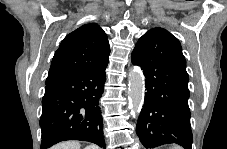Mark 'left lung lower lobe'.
Here are the masks:
<instances>
[{
	"label": "left lung lower lobe",
	"mask_w": 227,
	"mask_h": 149,
	"mask_svg": "<svg viewBox=\"0 0 227 149\" xmlns=\"http://www.w3.org/2000/svg\"><path fill=\"white\" fill-rule=\"evenodd\" d=\"M131 58L146 78L147 92L136 126L141 143L146 148L176 143L191 149L189 76L181 46L168 31L154 28L138 40Z\"/></svg>",
	"instance_id": "0a47b994"
}]
</instances>
